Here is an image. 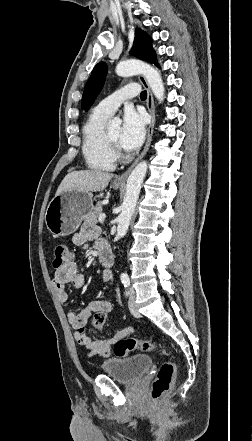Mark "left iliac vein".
Here are the masks:
<instances>
[{"instance_id": "obj_1", "label": "left iliac vein", "mask_w": 252, "mask_h": 441, "mask_svg": "<svg viewBox=\"0 0 252 441\" xmlns=\"http://www.w3.org/2000/svg\"><path fill=\"white\" fill-rule=\"evenodd\" d=\"M136 296L134 289H131L130 297H129V310L134 317H139L140 313L138 312L137 305L135 302Z\"/></svg>"}]
</instances>
